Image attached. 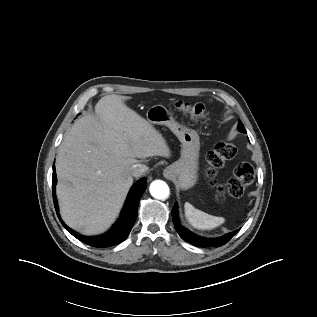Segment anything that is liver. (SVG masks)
Returning <instances> with one entry per match:
<instances>
[{
	"instance_id": "1",
	"label": "liver",
	"mask_w": 317,
	"mask_h": 317,
	"mask_svg": "<svg viewBox=\"0 0 317 317\" xmlns=\"http://www.w3.org/2000/svg\"><path fill=\"white\" fill-rule=\"evenodd\" d=\"M131 97L108 95L95 106L99 118L78 119L56 158V194L64 222L83 234L108 229L133 184L130 169L148 157H171L159 131L125 104Z\"/></svg>"
}]
</instances>
